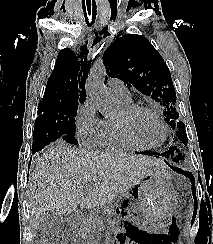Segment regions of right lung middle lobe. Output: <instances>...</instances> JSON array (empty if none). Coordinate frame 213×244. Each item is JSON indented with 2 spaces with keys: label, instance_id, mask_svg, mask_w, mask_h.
<instances>
[{
  "label": "right lung middle lobe",
  "instance_id": "obj_1",
  "mask_svg": "<svg viewBox=\"0 0 213 244\" xmlns=\"http://www.w3.org/2000/svg\"><path fill=\"white\" fill-rule=\"evenodd\" d=\"M78 103L40 102L35 121L32 151L43 149L56 140L77 145L75 117Z\"/></svg>",
  "mask_w": 213,
  "mask_h": 244
}]
</instances>
